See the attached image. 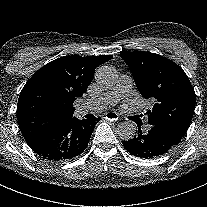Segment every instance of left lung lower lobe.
<instances>
[{
	"mask_svg": "<svg viewBox=\"0 0 207 207\" xmlns=\"http://www.w3.org/2000/svg\"><path fill=\"white\" fill-rule=\"evenodd\" d=\"M138 125V135L129 141H122L124 148L136 157L152 158L168 152L179 141L166 131L152 126L148 133H142Z\"/></svg>",
	"mask_w": 207,
	"mask_h": 207,
	"instance_id": "0a47b994",
	"label": "left lung lower lobe"
}]
</instances>
